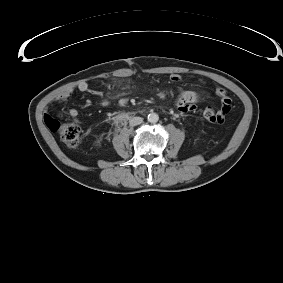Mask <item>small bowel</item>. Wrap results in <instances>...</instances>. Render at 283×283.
<instances>
[{"label": "small bowel", "mask_w": 283, "mask_h": 283, "mask_svg": "<svg viewBox=\"0 0 283 283\" xmlns=\"http://www.w3.org/2000/svg\"><path fill=\"white\" fill-rule=\"evenodd\" d=\"M169 80L173 84H178L181 81V76L179 74H172L170 75ZM77 89L81 92H88L90 91V86L88 83L83 82L78 85ZM177 92H178V96L176 101V108L178 112H180L181 114H190L195 112L197 110L196 105L202 102L207 97L206 93L184 90L181 87L177 88ZM215 94L221 99V108H223L226 105V101L230 102V106H231V100L228 97L225 89L217 88L215 90ZM72 95H73V91L69 92L66 95V98H69ZM68 114L71 118L75 119L78 117L79 111L76 108H71Z\"/></svg>", "instance_id": "small-bowel-1"}]
</instances>
